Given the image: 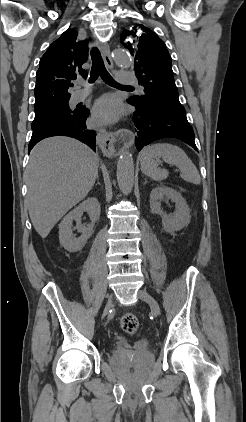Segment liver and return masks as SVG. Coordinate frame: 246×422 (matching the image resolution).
Masks as SVG:
<instances>
[{
	"label": "liver",
	"mask_w": 246,
	"mask_h": 422,
	"mask_svg": "<svg viewBox=\"0 0 246 422\" xmlns=\"http://www.w3.org/2000/svg\"><path fill=\"white\" fill-rule=\"evenodd\" d=\"M99 157L69 137H50L30 153L26 204L36 232L46 238L56 223L92 189Z\"/></svg>",
	"instance_id": "6515ba94"
}]
</instances>
